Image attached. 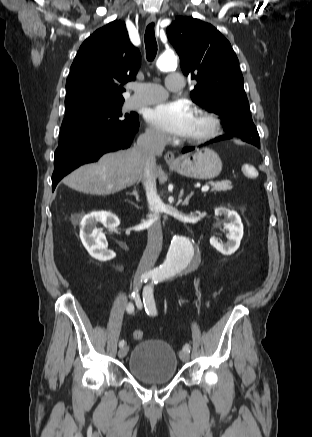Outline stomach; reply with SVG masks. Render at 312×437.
I'll list each match as a JSON object with an SVG mask.
<instances>
[{
    "label": "stomach",
    "mask_w": 312,
    "mask_h": 437,
    "mask_svg": "<svg viewBox=\"0 0 312 437\" xmlns=\"http://www.w3.org/2000/svg\"><path fill=\"white\" fill-rule=\"evenodd\" d=\"M170 168L178 174L195 179H212L222 170V161L218 154L210 148H203L193 154L180 158Z\"/></svg>",
    "instance_id": "obj_1"
}]
</instances>
